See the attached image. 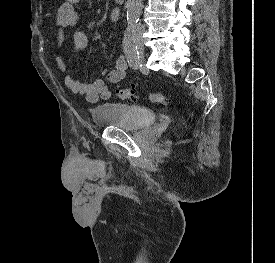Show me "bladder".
Here are the masks:
<instances>
[{"label":"bladder","mask_w":275,"mask_h":263,"mask_svg":"<svg viewBox=\"0 0 275 263\" xmlns=\"http://www.w3.org/2000/svg\"><path fill=\"white\" fill-rule=\"evenodd\" d=\"M92 118L99 127L139 129L156 122L155 112L144 106L102 104L92 109Z\"/></svg>","instance_id":"1"}]
</instances>
